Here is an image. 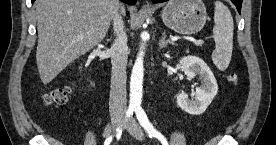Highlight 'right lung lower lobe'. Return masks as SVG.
<instances>
[{
	"instance_id": "98d812e1",
	"label": "right lung lower lobe",
	"mask_w": 276,
	"mask_h": 145,
	"mask_svg": "<svg viewBox=\"0 0 276 145\" xmlns=\"http://www.w3.org/2000/svg\"><path fill=\"white\" fill-rule=\"evenodd\" d=\"M35 0H31V2L33 3ZM124 3H127L129 5H133L135 4L136 0H121Z\"/></svg>"
}]
</instances>
